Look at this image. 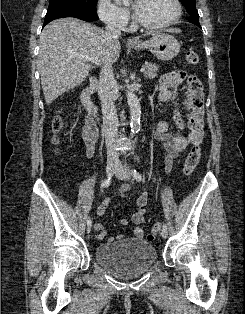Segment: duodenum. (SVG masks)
Listing matches in <instances>:
<instances>
[{"label": "duodenum", "instance_id": "obj_1", "mask_svg": "<svg viewBox=\"0 0 245 314\" xmlns=\"http://www.w3.org/2000/svg\"><path fill=\"white\" fill-rule=\"evenodd\" d=\"M97 84H98L97 78L92 77L90 79L89 84L83 88L80 95L81 101L83 105L86 107V109L88 110L89 115H90V120L92 121L94 125L99 123V109L92 99V95L94 91L96 90Z\"/></svg>", "mask_w": 245, "mask_h": 314}]
</instances>
